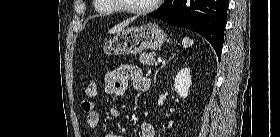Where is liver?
Wrapping results in <instances>:
<instances>
[{
    "label": "liver",
    "instance_id": "6515ba94",
    "mask_svg": "<svg viewBox=\"0 0 280 137\" xmlns=\"http://www.w3.org/2000/svg\"><path fill=\"white\" fill-rule=\"evenodd\" d=\"M130 21L131 20H127V21H124V22L116 25L115 27H113L112 29L109 30V33H119V32H121L124 29V27L130 23Z\"/></svg>",
    "mask_w": 280,
    "mask_h": 137
}]
</instances>
